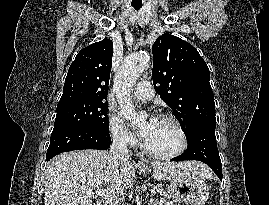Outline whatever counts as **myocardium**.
<instances>
[{
  "instance_id": "1",
  "label": "myocardium",
  "mask_w": 269,
  "mask_h": 205,
  "mask_svg": "<svg viewBox=\"0 0 269 205\" xmlns=\"http://www.w3.org/2000/svg\"><path fill=\"white\" fill-rule=\"evenodd\" d=\"M158 119L168 121L175 127V129L177 130V132L180 135L181 145L177 150H175L173 152H170V153H158V152H154V151L150 150L146 146L145 142H143L142 145H141L142 151L146 155H148L149 157H152V158H155V159H162V160L172 159V158H175L177 156H180L181 154H183L186 151V149L188 147V136H187V133H186L183 125L181 124V122L175 116H173L171 114H168V113L160 114Z\"/></svg>"
}]
</instances>
